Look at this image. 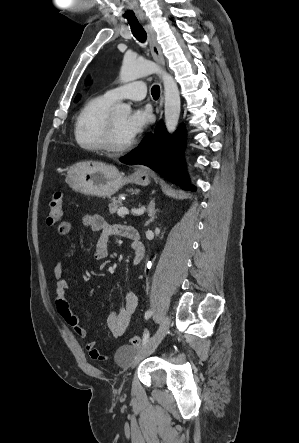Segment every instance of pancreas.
<instances>
[{
  "label": "pancreas",
  "instance_id": "obj_1",
  "mask_svg": "<svg viewBox=\"0 0 299 443\" xmlns=\"http://www.w3.org/2000/svg\"><path fill=\"white\" fill-rule=\"evenodd\" d=\"M121 197H122V195L111 199V202L108 205V210H109L110 214H114L118 210V208H120L122 206V198Z\"/></svg>",
  "mask_w": 299,
  "mask_h": 443
}]
</instances>
